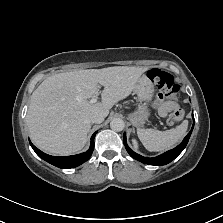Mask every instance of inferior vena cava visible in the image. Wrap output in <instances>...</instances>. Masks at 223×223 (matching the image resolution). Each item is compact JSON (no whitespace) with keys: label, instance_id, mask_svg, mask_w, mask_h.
<instances>
[{"label":"inferior vena cava","instance_id":"602c4592","mask_svg":"<svg viewBox=\"0 0 223 223\" xmlns=\"http://www.w3.org/2000/svg\"><path fill=\"white\" fill-rule=\"evenodd\" d=\"M104 115L101 112H92L90 114V121L93 123H102Z\"/></svg>","mask_w":223,"mask_h":223}]
</instances>
